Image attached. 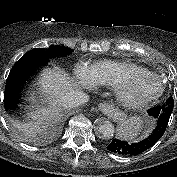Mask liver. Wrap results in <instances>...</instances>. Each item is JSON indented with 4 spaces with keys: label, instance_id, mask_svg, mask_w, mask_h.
Returning a JSON list of instances; mask_svg holds the SVG:
<instances>
[{
    "label": "liver",
    "instance_id": "obj_1",
    "mask_svg": "<svg viewBox=\"0 0 177 177\" xmlns=\"http://www.w3.org/2000/svg\"><path fill=\"white\" fill-rule=\"evenodd\" d=\"M35 85H38L39 91L46 95L49 105L38 107L35 111L30 112L33 121L26 123L24 128L32 134L45 130L51 121L60 115L62 111L60 100L75 87V84L59 68L42 70ZM31 100H35L34 96L31 97Z\"/></svg>",
    "mask_w": 177,
    "mask_h": 177
}]
</instances>
